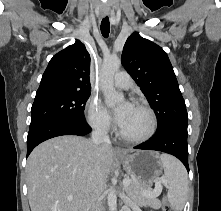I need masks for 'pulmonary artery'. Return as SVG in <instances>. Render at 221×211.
I'll return each instance as SVG.
<instances>
[{"mask_svg":"<svg viewBox=\"0 0 221 211\" xmlns=\"http://www.w3.org/2000/svg\"><path fill=\"white\" fill-rule=\"evenodd\" d=\"M132 78L126 71H119L114 76V85L121 89H128L132 86Z\"/></svg>","mask_w":221,"mask_h":211,"instance_id":"1","label":"pulmonary artery"}]
</instances>
